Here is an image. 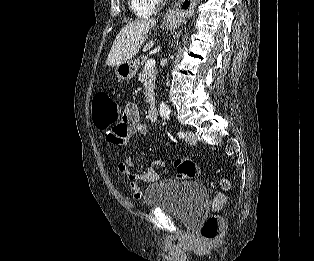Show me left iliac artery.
<instances>
[{"label":"left iliac artery","instance_id":"left-iliac-artery-1","mask_svg":"<svg viewBox=\"0 0 314 261\" xmlns=\"http://www.w3.org/2000/svg\"><path fill=\"white\" fill-rule=\"evenodd\" d=\"M177 135H178L179 138H184V136H185V134L183 132H181V131H179L177 133Z\"/></svg>","mask_w":314,"mask_h":261}]
</instances>
